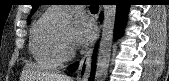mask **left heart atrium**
Segmentation results:
<instances>
[{
	"instance_id": "1",
	"label": "left heart atrium",
	"mask_w": 169,
	"mask_h": 81,
	"mask_svg": "<svg viewBox=\"0 0 169 81\" xmlns=\"http://www.w3.org/2000/svg\"><path fill=\"white\" fill-rule=\"evenodd\" d=\"M92 35L93 25L89 18L83 14L77 15L70 34V45L72 47H82L89 42Z\"/></svg>"
}]
</instances>
